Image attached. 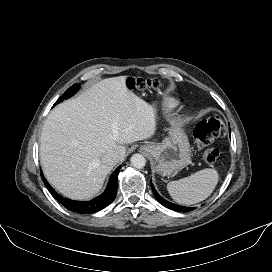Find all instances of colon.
Returning <instances> with one entry per match:
<instances>
[{
	"instance_id": "5ec220e1",
	"label": "colon",
	"mask_w": 272,
	"mask_h": 272,
	"mask_svg": "<svg viewBox=\"0 0 272 272\" xmlns=\"http://www.w3.org/2000/svg\"><path fill=\"white\" fill-rule=\"evenodd\" d=\"M128 86L132 89L148 90L159 89L162 83L155 79L131 78L128 80ZM225 132V126L218 117H212L202 120L194 128L195 142L202 151L203 160L207 163H213L219 156V150L214 147L205 148L215 139L222 136Z\"/></svg>"
}]
</instances>
